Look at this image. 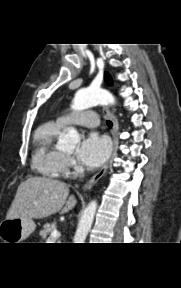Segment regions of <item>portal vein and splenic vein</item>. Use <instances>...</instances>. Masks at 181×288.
<instances>
[{"label":"portal vein and splenic vein","instance_id":"18ae733b","mask_svg":"<svg viewBox=\"0 0 181 288\" xmlns=\"http://www.w3.org/2000/svg\"><path fill=\"white\" fill-rule=\"evenodd\" d=\"M60 237V233L55 229L52 231L50 237L48 238V240H56L57 238Z\"/></svg>","mask_w":181,"mask_h":288}]
</instances>
